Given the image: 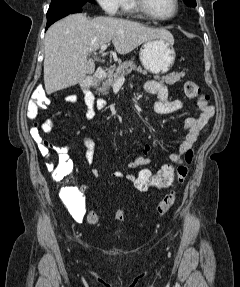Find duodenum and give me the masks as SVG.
Listing matches in <instances>:
<instances>
[{
	"label": "duodenum",
	"instance_id": "1",
	"mask_svg": "<svg viewBox=\"0 0 240 287\" xmlns=\"http://www.w3.org/2000/svg\"><path fill=\"white\" fill-rule=\"evenodd\" d=\"M105 74V69L103 67H98L94 74L90 77H88L82 84H81V88L82 90H84L85 92H89L91 87L93 86L94 82H96L97 80L103 78Z\"/></svg>",
	"mask_w": 240,
	"mask_h": 287
}]
</instances>
